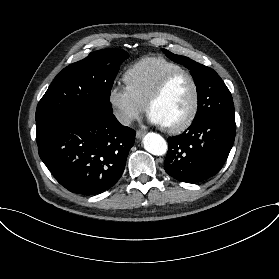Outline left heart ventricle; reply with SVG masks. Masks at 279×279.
<instances>
[{
  "instance_id": "left-heart-ventricle-1",
  "label": "left heart ventricle",
  "mask_w": 279,
  "mask_h": 279,
  "mask_svg": "<svg viewBox=\"0 0 279 279\" xmlns=\"http://www.w3.org/2000/svg\"><path fill=\"white\" fill-rule=\"evenodd\" d=\"M194 101V87L187 76L174 80L161 98L151 107L150 113L164 126L181 123L190 113Z\"/></svg>"
}]
</instances>
